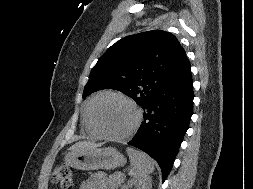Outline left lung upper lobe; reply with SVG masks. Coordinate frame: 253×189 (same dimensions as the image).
Instances as JSON below:
<instances>
[{"label":"left lung upper lobe","mask_w":253,"mask_h":189,"mask_svg":"<svg viewBox=\"0 0 253 189\" xmlns=\"http://www.w3.org/2000/svg\"><path fill=\"white\" fill-rule=\"evenodd\" d=\"M186 59L183 47L169 32L152 30L124 37L93 67L83 98L110 88L143 107L179 72Z\"/></svg>","instance_id":"1"}]
</instances>
